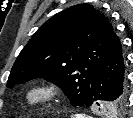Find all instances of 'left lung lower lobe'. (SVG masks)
Wrapping results in <instances>:
<instances>
[{
  "mask_svg": "<svg viewBox=\"0 0 133 118\" xmlns=\"http://www.w3.org/2000/svg\"><path fill=\"white\" fill-rule=\"evenodd\" d=\"M125 63L121 42L116 37L107 57L92 78L85 106L93 104L101 107L117 99H127Z\"/></svg>",
  "mask_w": 133,
  "mask_h": 118,
  "instance_id": "left-lung-lower-lobe-1",
  "label": "left lung lower lobe"
}]
</instances>
